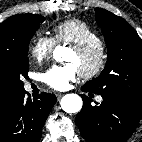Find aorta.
<instances>
[{
	"label": "aorta",
	"instance_id": "obj_1",
	"mask_svg": "<svg viewBox=\"0 0 142 142\" xmlns=\"http://www.w3.org/2000/svg\"><path fill=\"white\" fill-rule=\"evenodd\" d=\"M64 48L57 47L53 52V57L56 61L62 60V54H63ZM82 99L77 94H66L61 99V107L62 109L67 113H77L82 108Z\"/></svg>",
	"mask_w": 142,
	"mask_h": 142
}]
</instances>
